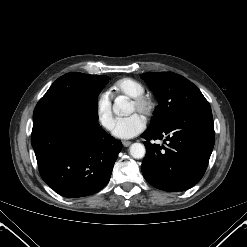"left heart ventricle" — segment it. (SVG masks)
<instances>
[{
    "label": "left heart ventricle",
    "mask_w": 247,
    "mask_h": 247,
    "mask_svg": "<svg viewBox=\"0 0 247 247\" xmlns=\"http://www.w3.org/2000/svg\"><path fill=\"white\" fill-rule=\"evenodd\" d=\"M135 111H136V108L134 104H131L130 113L135 112Z\"/></svg>",
    "instance_id": "left-heart-ventricle-1"
}]
</instances>
